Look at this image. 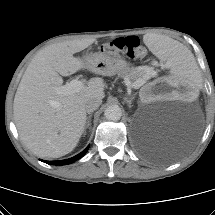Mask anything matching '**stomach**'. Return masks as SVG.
<instances>
[{"instance_id":"obj_1","label":"stomach","mask_w":215,"mask_h":215,"mask_svg":"<svg viewBox=\"0 0 215 215\" xmlns=\"http://www.w3.org/2000/svg\"><path fill=\"white\" fill-rule=\"evenodd\" d=\"M83 60L89 70L99 75H120L128 70V64L124 59L112 57L104 52L86 54Z\"/></svg>"}]
</instances>
